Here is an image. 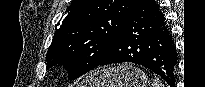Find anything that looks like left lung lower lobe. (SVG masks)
<instances>
[{"label":"left lung lower lobe","mask_w":205,"mask_h":87,"mask_svg":"<svg viewBox=\"0 0 205 87\" xmlns=\"http://www.w3.org/2000/svg\"><path fill=\"white\" fill-rule=\"evenodd\" d=\"M122 62L143 65L170 86L175 85L177 54L165 17L154 0H136L99 66Z\"/></svg>","instance_id":"left-lung-lower-lobe-1"}]
</instances>
